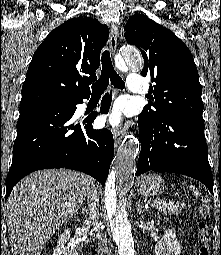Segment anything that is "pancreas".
I'll return each instance as SVG.
<instances>
[{"label":"pancreas","mask_w":221,"mask_h":255,"mask_svg":"<svg viewBox=\"0 0 221 255\" xmlns=\"http://www.w3.org/2000/svg\"><path fill=\"white\" fill-rule=\"evenodd\" d=\"M152 207L163 211L165 214L171 212L173 214H179L181 210L184 208L183 203H175L172 201L167 202L165 199L157 198L155 199L152 204Z\"/></svg>","instance_id":"obj_1"}]
</instances>
